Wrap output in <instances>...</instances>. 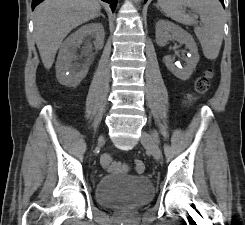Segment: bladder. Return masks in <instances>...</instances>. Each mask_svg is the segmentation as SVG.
<instances>
[{
    "label": "bladder",
    "mask_w": 245,
    "mask_h": 225,
    "mask_svg": "<svg viewBox=\"0 0 245 225\" xmlns=\"http://www.w3.org/2000/svg\"><path fill=\"white\" fill-rule=\"evenodd\" d=\"M154 198V185L143 174H106L98 180L94 199L98 206L113 210L121 207H137Z\"/></svg>",
    "instance_id": "bladder-1"
}]
</instances>
